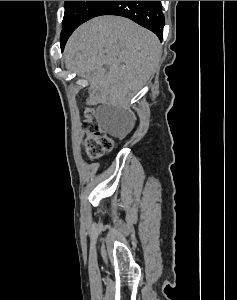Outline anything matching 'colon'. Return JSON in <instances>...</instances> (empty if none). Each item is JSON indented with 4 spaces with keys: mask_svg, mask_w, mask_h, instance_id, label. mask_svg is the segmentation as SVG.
I'll return each mask as SVG.
<instances>
[{
    "mask_svg": "<svg viewBox=\"0 0 237 300\" xmlns=\"http://www.w3.org/2000/svg\"><path fill=\"white\" fill-rule=\"evenodd\" d=\"M82 128L86 135L85 152L90 158H99L112 149L113 141L101 128L93 109L85 110Z\"/></svg>",
    "mask_w": 237,
    "mask_h": 300,
    "instance_id": "5ec220e1",
    "label": "colon"
}]
</instances>
